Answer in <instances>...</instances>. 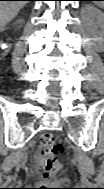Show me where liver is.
<instances>
[{"label": "liver", "mask_w": 104, "mask_h": 189, "mask_svg": "<svg viewBox=\"0 0 104 189\" xmlns=\"http://www.w3.org/2000/svg\"><path fill=\"white\" fill-rule=\"evenodd\" d=\"M26 1H1L0 2V26H4L13 20L18 12L24 7Z\"/></svg>", "instance_id": "liver-1"}]
</instances>
